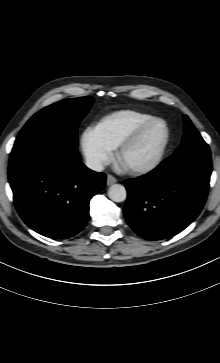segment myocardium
Returning a JSON list of instances; mask_svg holds the SVG:
<instances>
[{
  "instance_id": "obj_1",
  "label": "myocardium",
  "mask_w": 220,
  "mask_h": 363,
  "mask_svg": "<svg viewBox=\"0 0 220 363\" xmlns=\"http://www.w3.org/2000/svg\"><path fill=\"white\" fill-rule=\"evenodd\" d=\"M158 122L163 123L164 127H165V137L163 139L161 146L159 147L156 155L154 156V158L151 161H149L145 164H142V165L128 168V170L131 173L146 174V173H149V172L155 170L161 164V162L165 156V153L167 151V148H168V145L170 142V138H171V132H170V127H169L168 123L162 118H157V117L152 118L151 120H149V121L141 124L137 128H135L116 147L115 156H116V159L118 161H120L122 155L139 140V138L144 134V132L147 129H149L152 125H154Z\"/></svg>"
}]
</instances>
